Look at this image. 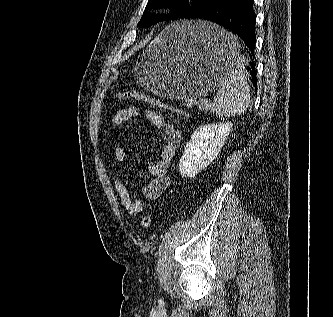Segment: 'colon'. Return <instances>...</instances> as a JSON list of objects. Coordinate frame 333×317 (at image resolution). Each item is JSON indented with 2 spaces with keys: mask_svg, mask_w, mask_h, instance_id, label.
Here are the masks:
<instances>
[{
  "mask_svg": "<svg viewBox=\"0 0 333 317\" xmlns=\"http://www.w3.org/2000/svg\"><path fill=\"white\" fill-rule=\"evenodd\" d=\"M116 98L117 99L136 100V101L151 105L155 108H159V109H163V110L175 113L180 116H187V113L185 111L174 108L172 106H169L150 95H147L143 92H139L136 90H125V91L118 92L116 94ZM151 224H152V216L150 214H146L142 219V225L144 228L148 229V228H150Z\"/></svg>",
  "mask_w": 333,
  "mask_h": 317,
  "instance_id": "obj_1",
  "label": "colon"
}]
</instances>
